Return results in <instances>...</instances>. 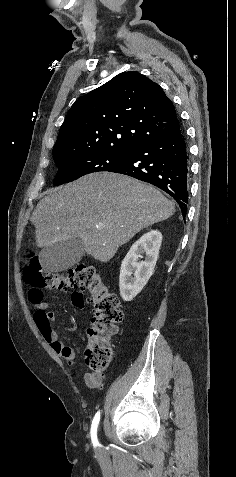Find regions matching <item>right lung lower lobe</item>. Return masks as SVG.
Segmentation results:
<instances>
[{"label": "right lung lower lobe", "instance_id": "right-lung-lower-lobe-1", "mask_svg": "<svg viewBox=\"0 0 236 477\" xmlns=\"http://www.w3.org/2000/svg\"><path fill=\"white\" fill-rule=\"evenodd\" d=\"M109 172L125 174L162 189L175 199L185 218L189 153L180 123L167 135L131 150L127 162Z\"/></svg>", "mask_w": 236, "mask_h": 477}]
</instances>
